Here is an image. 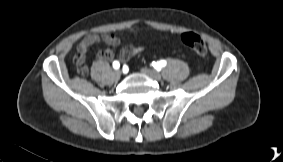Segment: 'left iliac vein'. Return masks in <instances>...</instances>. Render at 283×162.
I'll use <instances>...</instances> for the list:
<instances>
[{"label":"left iliac vein","mask_w":283,"mask_h":162,"mask_svg":"<svg viewBox=\"0 0 283 162\" xmlns=\"http://www.w3.org/2000/svg\"><path fill=\"white\" fill-rule=\"evenodd\" d=\"M142 73H144L145 75H147L148 77L160 81L162 79L161 74L155 70H151L148 68H142L141 69Z\"/></svg>","instance_id":"1"}]
</instances>
